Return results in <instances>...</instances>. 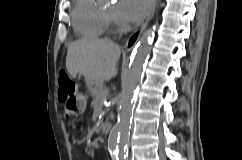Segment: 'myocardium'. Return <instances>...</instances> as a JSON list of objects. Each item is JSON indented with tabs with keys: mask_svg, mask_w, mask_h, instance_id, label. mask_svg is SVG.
<instances>
[{
	"mask_svg": "<svg viewBox=\"0 0 242 160\" xmlns=\"http://www.w3.org/2000/svg\"><path fill=\"white\" fill-rule=\"evenodd\" d=\"M101 17L104 23L105 28L111 31H119L121 30V25L115 21L112 17H110L104 10L101 9Z\"/></svg>",
	"mask_w": 242,
	"mask_h": 160,
	"instance_id": "obj_1",
	"label": "myocardium"
}]
</instances>
